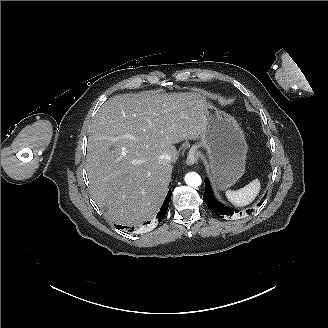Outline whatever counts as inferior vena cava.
I'll use <instances>...</instances> for the list:
<instances>
[{
  "mask_svg": "<svg viewBox=\"0 0 328 328\" xmlns=\"http://www.w3.org/2000/svg\"><path fill=\"white\" fill-rule=\"evenodd\" d=\"M160 158L164 159V160H170L171 159L169 154H163Z\"/></svg>",
  "mask_w": 328,
  "mask_h": 328,
  "instance_id": "inferior-vena-cava-1",
  "label": "inferior vena cava"
}]
</instances>
